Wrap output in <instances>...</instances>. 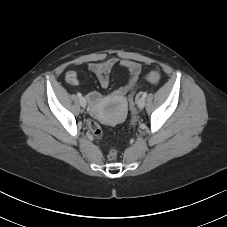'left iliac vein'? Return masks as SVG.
Here are the masks:
<instances>
[{
  "instance_id": "left-iliac-vein-1",
  "label": "left iliac vein",
  "mask_w": 227,
  "mask_h": 227,
  "mask_svg": "<svg viewBox=\"0 0 227 227\" xmlns=\"http://www.w3.org/2000/svg\"><path fill=\"white\" fill-rule=\"evenodd\" d=\"M137 106L139 109H143L145 106V99L142 97L138 100Z\"/></svg>"
}]
</instances>
